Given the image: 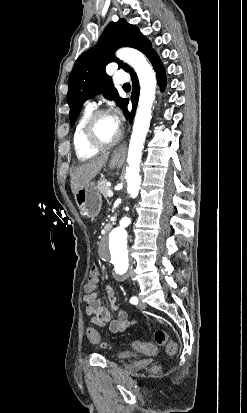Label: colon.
<instances>
[{
  "mask_svg": "<svg viewBox=\"0 0 247 413\" xmlns=\"http://www.w3.org/2000/svg\"><path fill=\"white\" fill-rule=\"evenodd\" d=\"M96 264H92V269L88 271V280L91 282H94L101 276V274H98L96 272ZM85 335L88 338V340L93 343V344H100L101 343V338L97 332V330L94 327H88L85 331ZM153 342H155V345H152V343L149 342H142V341H133L131 343V346L133 347L134 350L142 352L146 355H153L155 354V350L157 352L158 348L165 347L166 348V354L167 355H178L179 354V347L178 344L175 340L169 339V335L163 331V330H155L153 334ZM155 372L159 370V366H155L153 369Z\"/></svg>",
  "mask_w": 247,
  "mask_h": 413,
  "instance_id": "obj_1",
  "label": "colon"
}]
</instances>
